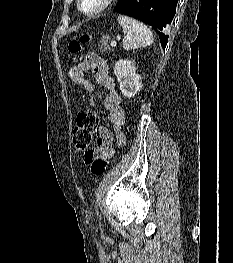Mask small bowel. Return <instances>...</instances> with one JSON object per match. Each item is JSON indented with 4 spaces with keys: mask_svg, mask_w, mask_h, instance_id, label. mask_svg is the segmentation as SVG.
Wrapping results in <instances>:
<instances>
[{
    "mask_svg": "<svg viewBox=\"0 0 233 263\" xmlns=\"http://www.w3.org/2000/svg\"><path fill=\"white\" fill-rule=\"evenodd\" d=\"M87 70L92 71V77L85 73ZM70 77L75 84L84 86L89 92H93L97 85L106 91L104 98L105 113L114 133L106 127H99L91 153L94 159L112 158L115 152L114 144L123 146L127 140L124 131L126 115L121 105L122 98L116 90L114 79L109 74L106 62L97 54L89 53L82 63L71 70Z\"/></svg>",
    "mask_w": 233,
    "mask_h": 263,
    "instance_id": "small-bowel-1",
    "label": "small bowel"
}]
</instances>
